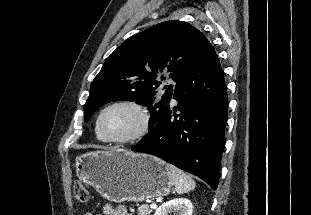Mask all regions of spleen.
I'll use <instances>...</instances> for the list:
<instances>
[{"mask_svg":"<svg viewBox=\"0 0 311 215\" xmlns=\"http://www.w3.org/2000/svg\"><path fill=\"white\" fill-rule=\"evenodd\" d=\"M167 169L178 194L187 193L196 187V183L192 177L182 170L170 164H167Z\"/></svg>","mask_w":311,"mask_h":215,"instance_id":"3e777b00","label":"spleen"}]
</instances>
